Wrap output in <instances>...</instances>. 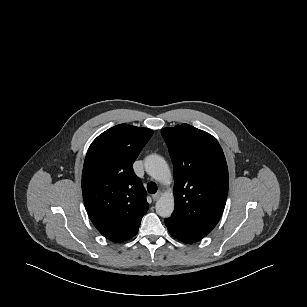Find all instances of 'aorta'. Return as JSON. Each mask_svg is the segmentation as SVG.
Here are the masks:
<instances>
[{"mask_svg": "<svg viewBox=\"0 0 307 307\" xmlns=\"http://www.w3.org/2000/svg\"><path fill=\"white\" fill-rule=\"evenodd\" d=\"M145 170L153 179L163 184L171 181V172L165 159L159 155L152 154L145 158ZM174 197L172 193H164L156 202V213L168 218L174 211Z\"/></svg>", "mask_w": 307, "mask_h": 307, "instance_id": "1", "label": "aorta"}]
</instances>
